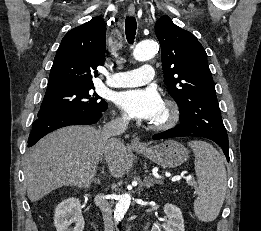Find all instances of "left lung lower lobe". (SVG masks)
Returning a JSON list of instances; mask_svg holds the SVG:
<instances>
[{
  "instance_id": "left-lung-lower-lobe-1",
  "label": "left lung lower lobe",
  "mask_w": 261,
  "mask_h": 231,
  "mask_svg": "<svg viewBox=\"0 0 261 231\" xmlns=\"http://www.w3.org/2000/svg\"><path fill=\"white\" fill-rule=\"evenodd\" d=\"M185 136L204 137L213 140L223 149V152L227 160L229 161L228 139L208 137L207 135L203 134L198 129L190 126L189 124L181 123L172 129L154 135L152 138L154 140H158V139L173 138V137H185Z\"/></svg>"
}]
</instances>
